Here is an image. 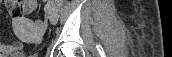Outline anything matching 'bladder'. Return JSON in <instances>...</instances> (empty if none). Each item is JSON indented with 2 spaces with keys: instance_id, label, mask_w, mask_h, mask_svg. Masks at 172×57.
Instances as JSON below:
<instances>
[{
  "instance_id": "obj_1",
  "label": "bladder",
  "mask_w": 172,
  "mask_h": 57,
  "mask_svg": "<svg viewBox=\"0 0 172 57\" xmlns=\"http://www.w3.org/2000/svg\"><path fill=\"white\" fill-rule=\"evenodd\" d=\"M9 57H23V56L14 54V55L9 56Z\"/></svg>"
}]
</instances>
